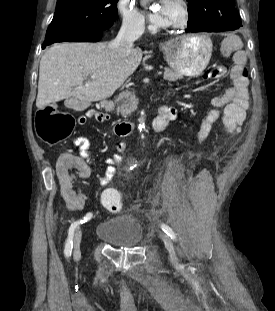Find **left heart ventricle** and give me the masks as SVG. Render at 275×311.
<instances>
[{
	"label": "left heart ventricle",
	"mask_w": 275,
	"mask_h": 311,
	"mask_svg": "<svg viewBox=\"0 0 275 311\" xmlns=\"http://www.w3.org/2000/svg\"><path fill=\"white\" fill-rule=\"evenodd\" d=\"M167 15H168V25L176 22L179 17V9L172 0L168 4Z\"/></svg>",
	"instance_id": "left-heart-ventricle-1"
}]
</instances>
